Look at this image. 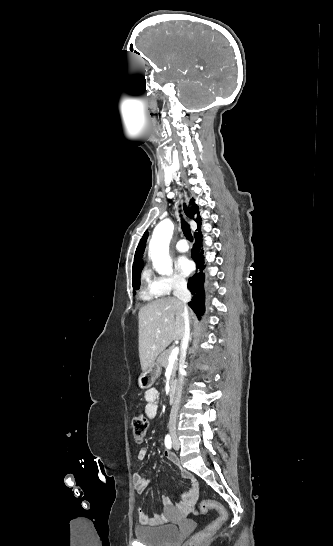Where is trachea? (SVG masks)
I'll return each instance as SVG.
<instances>
[{
	"instance_id": "1",
	"label": "trachea",
	"mask_w": 333,
	"mask_h": 546,
	"mask_svg": "<svg viewBox=\"0 0 333 546\" xmlns=\"http://www.w3.org/2000/svg\"><path fill=\"white\" fill-rule=\"evenodd\" d=\"M180 217H181V228H182V231H183L185 237L189 241L193 242V236H192L189 224L182 218V215H180Z\"/></svg>"
}]
</instances>
